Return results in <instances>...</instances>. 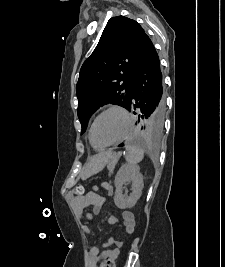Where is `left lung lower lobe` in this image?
Instances as JSON below:
<instances>
[{
  "label": "left lung lower lobe",
  "instance_id": "0a47b994",
  "mask_svg": "<svg viewBox=\"0 0 225 267\" xmlns=\"http://www.w3.org/2000/svg\"><path fill=\"white\" fill-rule=\"evenodd\" d=\"M128 111L133 112L137 122L148 116L157 125L164 122L165 101L160 61L148 36L136 65Z\"/></svg>",
  "mask_w": 225,
  "mask_h": 267
}]
</instances>
